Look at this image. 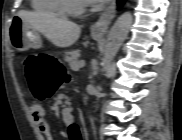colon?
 I'll use <instances>...</instances> for the list:
<instances>
[{
    "instance_id": "obj_1",
    "label": "colon",
    "mask_w": 182,
    "mask_h": 140,
    "mask_svg": "<svg viewBox=\"0 0 182 140\" xmlns=\"http://www.w3.org/2000/svg\"><path fill=\"white\" fill-rule=\"evenodd\" d=\"M25 69L31 92L39 100L52 97L67 79L62 63L50 56H29L25 62ZM68 138L69 140H83L81 126L76 120L70 121Z\"/></svg>"
}]
</instances>
